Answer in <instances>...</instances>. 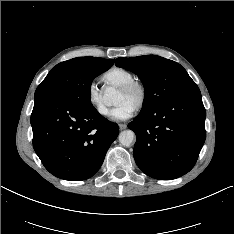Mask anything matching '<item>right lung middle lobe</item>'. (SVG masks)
I'll return each instance as SVG.
<instances>
[{
  "label": "right lung middle lobe",
  "instance_id": "1",
  "mask_svg": "<svg viewBox=\"0 0 234 234\" xmlns=\"http://www.w3.org/2000/svg\"><path fill=\"white\" fill-rule=\"evenodd\" d=\"M109 65H92L81 57L57 64L36 89L35 98L62 96L80 105L91 106L90 86L93 79Z\"/></svg>",
  "mask_w": 234,
  "mask_h": 234
}]
</instances>
